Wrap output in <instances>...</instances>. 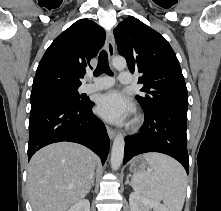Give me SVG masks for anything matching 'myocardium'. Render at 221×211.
<instances>
[{
	"label": "myocardium",
	"instance_id": "f54148a6",
	"mask_svg": "<svg viewBox=\"0 0 221 211\" xmlns=\"http://www.w3.org/2000/svg\"><path fill=\"white\" fill-rule=\"evenodd\" d=\"M140 122V118H136L135 123L138 124Z\"/></svg>",
	"mask_w": 221,
	"mask_h": 211
}]
</instances>
